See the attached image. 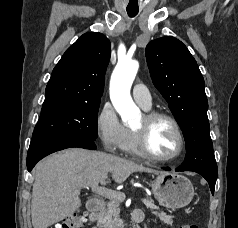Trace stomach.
Listing matches in <instances>:
<instances>
[{
    "mask_svg": "<svg viewBox=\"0 0 238 228\" xmlns=\"http://www.w3.org/2000/svg\"><path fill=\"white\" fill-rule=\"evenodd\" d=\"M155 199L166 208H182L193 199L194 187L185 176L161 171L152 184Z\"/></svg>",
    "mask_w": 238,
    "mask_h": 228,
    "instance_id": "1",
    "label": "stomach"
}]
</instances>
